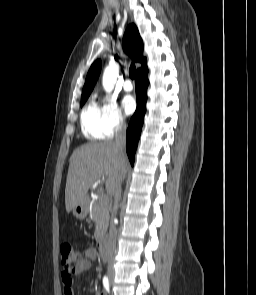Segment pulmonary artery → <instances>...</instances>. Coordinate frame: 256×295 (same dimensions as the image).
I'll use <instances>...</instances> for the list:
<instances>
[{
  "label": "pulmonary artery",
  "mask_w": 256,
  "mask_h": 295,
  "mask_svg": "<svg viewBox=\"0 0 256 295\" xmlns=\"http://www.w3.org/2000/svg\"><path fill=\"white\" fill-rule=\"evenodd\" d=\"M123 89L127 92L129 91H132L133 89V85L131 83V81L129 79H126L124 82H123Z\"/></svg>",
  "instance_id": "pulmonary-artery-1"
}]
</instances>
